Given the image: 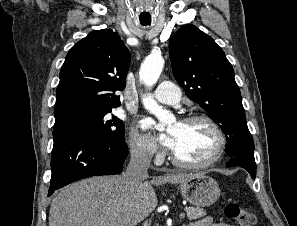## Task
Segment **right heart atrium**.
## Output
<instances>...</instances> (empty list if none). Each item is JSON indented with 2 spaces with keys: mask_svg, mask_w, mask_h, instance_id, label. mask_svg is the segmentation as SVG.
Returning a JSON list of instances; mask_svg holds the SVG:
<instances>
[{
  "mask_svg": "<svg viewBox=\"0 0 297 226\" xmlns=\"http://www.w3.org/2000/svg\"><path fill=\"white\" fill-rule=\"evenodd\" d=\"M129 148L132 157L142 163H150L158 154L153 141L137 131L130 133Z\"/></svg>",
  "mask_w": 297,
  "mask_h": 226,
  "instance_id": "obj_1",
  "label": "right heart atrium"
}]
</instances>
